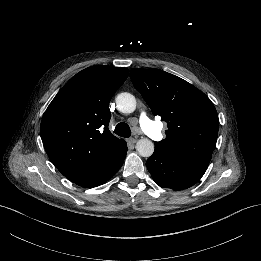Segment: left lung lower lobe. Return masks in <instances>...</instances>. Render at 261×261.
I'll return each instance as SVG.
<instances>
[{
  "mask_svg": "<svg viewBox=\"0 0 261 261\" xmlns=\"http://www.w3.org/2000/svg\"><path fill=\"white\" fill-rule=\"evenodd\" d=\"M146 166L153 180L160 187L179 191L196 184L206 172L208 163L191 158L169 156L155 149L147 160Z\"/></svg>",
  "mask_w": 261,
  "mask_h": 261,
  "instance_id": "1",
  "label": "left lung lower lobe"
}]
</instances>
